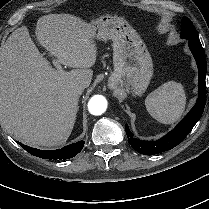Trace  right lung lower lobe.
<instances>
[{
    "instance_id": "98d812e1",
    "label": "right lung lower lobe",
    "mask_w": 209,
    "mask_h": 209,
    "mask_svg": "<svg viewBox=\"0 0 209 209\" xmlns=\"http://www.w3.org/2000/svg\"><path fill=\"white\" fill-rule=\"evenodd\" d=\"M18 144L30 154L43 159H70L79 153L84 147V141H79L57 150H40L19 142Z\"/></svg>"
}]
</instances>
